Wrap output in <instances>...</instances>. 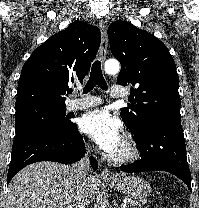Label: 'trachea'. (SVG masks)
Wrapping results in <instances>:
<instances>
[{"mask_svg":"<svg viewBox=\"0 0 199 208\" xmlns=\"http://www.w3.org/2000/svg\"><path fill=\"white\" fill-rule=\"evenodd\" d=\"M96 85H98L103 90L108 89L107 83L102 74L101 62L98 60H96L92 65L90 77L84 87L83 93L90 92Z\"/></svg>","mask_w":199,"mask_h":208,"instance_id":"1","label":"trachea"}]
</instances>
